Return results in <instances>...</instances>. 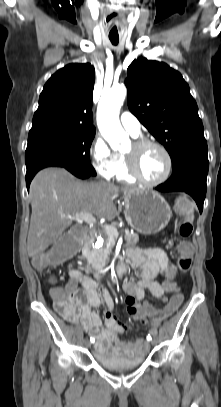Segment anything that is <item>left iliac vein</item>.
<instances>
[{
    "label": "left iliac vein",
    "instance_id": "obj_1",
    "mask_svg": "<svg viewBox=\"0 0 221 407\" xmlns=\"http://www.w3.org/2000/svg\"><path fill=\"white\" fill-rule=\"evenodd\" d=\"M156 343H157V339L154 337L152 340V344L155 345ZM147 346H148V344H147Z\"/></svg>",
    "mask_w": 221,
    "mask_h": 407
}]
</instances>
